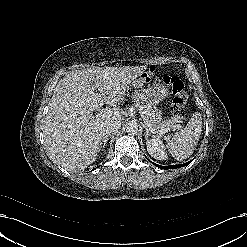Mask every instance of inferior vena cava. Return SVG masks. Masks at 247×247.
I'll return each instance as SVG.
<instances>
[{"mask_svg": "<svg viewBox=\"0 0 247 247\" xmlns=\"http://www.w3.org/2000/svg\"><path fill=\"white\" fill-rule=\"evenodd\" d=\"M121 128L120 120H110L104 125L105 134H113Z\"/></svg>", "mask_w": 247, "mask_h": 247, "instance_id": "inferior-vena-cava-1", "label": "inferior vena cava"}]
</instances>
